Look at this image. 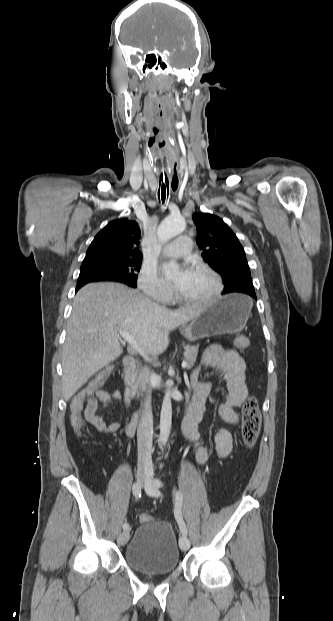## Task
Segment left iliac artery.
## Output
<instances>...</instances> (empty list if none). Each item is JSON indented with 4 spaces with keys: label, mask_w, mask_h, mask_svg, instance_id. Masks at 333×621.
I'll list each match as a JSON object with an SVG mask.
<instances>
[{
    "label": "left iliac artery",
    "mask_w": 333,
    "mask_h": 621,
    "mask_svg": "<svg viewBox=\"0 0 333 621\" xmlns=\"http://www.w3.org/2000/svg\"><path fill=\"white\" fill-rule=\"evenodd\" d=\"M153 485L155 487L160 488L163 486V483L160 479L155 478L153 481ZM145 489L147 490V485L145 486ZM174 493H175V508H174L175 519L177 521V524L179 526L181 533L183 535H187V527L183 520L182 511H181L182 503H183V496L179 490H176Z\"/></svg>",
    "instance_id": "1"
}]
</instances>
